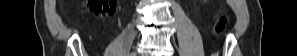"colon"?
<instances>
[{"mask_svg":"<svg viewBox=\"0 0 297 56\" xmlns=\"http://www.w3.org/2000/svg\"><path fill=\"white\" fill-rule=\"evenodd\" d=\"M115 0H90L87 2L88 7L93 9L98 17H104L114 12ZM226 18L221 17L217 26L216 32H221L224 29Z\"/></svg>","mask_w":297,"mask_h":56,"instance_id":"colon-1","label":"colon"}]
</instances>
